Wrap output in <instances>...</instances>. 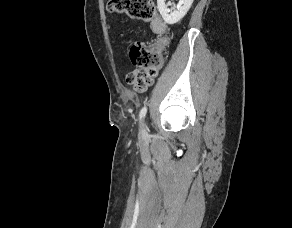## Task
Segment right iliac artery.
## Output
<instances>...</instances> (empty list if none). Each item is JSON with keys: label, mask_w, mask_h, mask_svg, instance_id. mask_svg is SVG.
Returning <instances> with one entry per match:
<instances>
[{"label": "right iliac artery", "mask_w": 292, "mask_h": 228, "mask_svg": "<svg viewBox=\"0 0 292 228\" xmlns=\"http://www.w3.org/2000/svg\"><path fill=\"white\" fill-rule=\"evenodd\" d=\"M146 112H147V107L144 106V107L141 109L140 114H139L140 120H142V119L145 117Z\"/></svg>", "instance_id": "1"}]
</instances>
